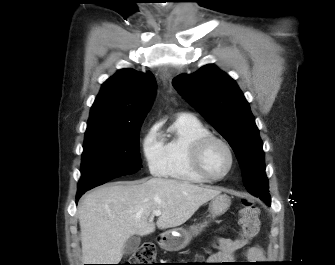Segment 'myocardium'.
I'll return each instance as SVG.
<instances>
[{"instance_id": "f54148a6", "label": "myocardium", "mask_w": 335, "mask_h": 265, "mask_svg": "<svg viewBox=\"0 0 335 265\" xmlns=\"http://www.w3.org/2000/svg\"><path fill=\"white\" fill-rule=\"evenodd\" d=\"M212 142H218L222 144L227 149L229 157H230L229 167L227 171L221 176H213L209 174L203 165V154L207 146ZM191 162H192V166L194 170L201 177H203L207 181L217 182V181L223 180L232 172L234 165H235V153H234L233 147L227 140L219 136L213 135V134H208V135H205L199 138L194 143L192 151H191Z\"/></svg>"}]
</instances>
